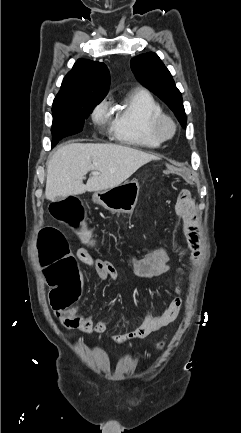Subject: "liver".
<instances>
[{
  "label": "liver",
  "mask_w": 241,
  "mask_h": 433,
  "mask_svg": "<svg viewBox=\"0 0 241 433\" xmlns=\"http://www.w3.org/2000/svg\"><path fill=\"white\" fill-rule=\"evenodd\" d=\"M158 159L155 155L121 145H61L47 163L45 196L54 200L87 191L108 190L123 183L141 166ZM89 171L99 174L90 176L83 184Z\"/></svg>",
  "instance_id": "liver-1"
}]
</instances>
